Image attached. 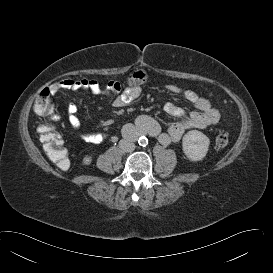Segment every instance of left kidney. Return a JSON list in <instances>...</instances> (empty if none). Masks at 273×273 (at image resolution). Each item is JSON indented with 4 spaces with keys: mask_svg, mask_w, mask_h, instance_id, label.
<instances>
[{
    "mask_svg": "<svg viewBox=\"0 0 273 273\" xmlns=\"http://www.w3.org/2000/svg\"><path fill=\"white\" fill-rule=\"evenodd\" d=\"M209 144V138L198 130L187 132L182 139L183 152L191 161L202 160L207 154Z\"/></svg>",
    "mask_w": 273,
    "mask_h": 273,
    "instance_id": "obj_1",
    "label": "left kidney"
}]
</instances>
